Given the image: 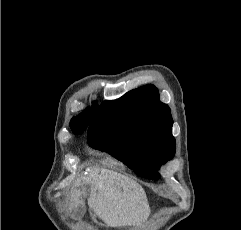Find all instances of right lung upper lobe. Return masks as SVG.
<instances>
[{
	"instance_id": "right-lung-upper-lobe-1",
	"label": "right lung upper lobe",
	"mask_w": 241,
	"mask_h": 230,
	"mask_svg": "<svg viewBox=\"0 0 241 230\" xmlns=\"http://www.w3.org/2000/svg\"><path fill=\"white\" fill-rule=\"evenodd\" d=\"M98 105L93 104L91 107L86 108L81 114L73 117L70 122V127L73 132L84 131L87 125L94 119Z\"/></svg>"
}]
</instances>
